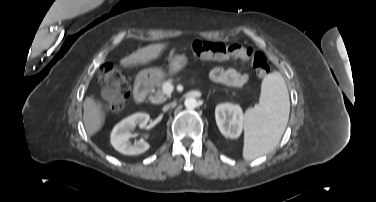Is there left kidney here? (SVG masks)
I'll return each mask as SVG.
<instances>
[{
  "instance_id": "left-kidney-1",
  "label": "left kidney",
  "mask_w": 376,
  "mask_h": 202,
  "mask_svg": "<svg viewBox=\"0 0 376 202\" xmlns=\"http://www.w3.org/2000/svg\"><path fill=\"white\" fill-rule=\"evenodd\" d=\"M215 119L220 132L229 138H238L243 129L245 115L239 105L223 103L215 109Z\"/></svg>"
}]
</instances>
